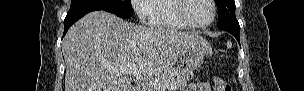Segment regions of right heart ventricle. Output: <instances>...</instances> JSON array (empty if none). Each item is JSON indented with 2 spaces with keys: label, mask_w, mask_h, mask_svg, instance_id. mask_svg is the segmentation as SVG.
Listing matches in <instances>:
<instances>
[{
  "label": "right heart ventricle",
  "mask_w": 304,
  "mask_h": 91,
  "mask_svg": "<svg viewBox=\"0 0 304 91\" xmlns=\"http://www.w3.org/2000/svg\"><path fill=\"white\" fill-rule=\"evenodd\" d=\"M176 4L177 0H155L150 6L151 26L174 30L188 29L176 15Z\"/></svg>",
  "instance_id": "right-heart-ventricle-1"
}]
</instances>
